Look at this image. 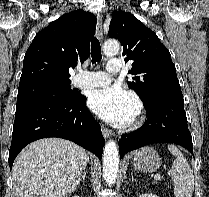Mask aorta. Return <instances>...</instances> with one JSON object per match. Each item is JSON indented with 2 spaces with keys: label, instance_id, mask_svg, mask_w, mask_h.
I'll use <instances>...</instances> for the list:
<instances>
[{
  "label": "aorta",
  "instance_id": "1",
  "mask_svg": "<svg viewBox=\"0 0 209 197\" xmlns=\"http://www.w3.org/2000/svg\"><path fill=\"white\" fill-rule=\"evenodd\" d=\"M120 51L117 40H108L103 45V52L107 57L115 56ZM119 171V150L114 140H109L103 150V177L108 185L116 182Z\"/></svg>",
  "mask_w": 209,
  "mask_h": 197
}]
</instances>
